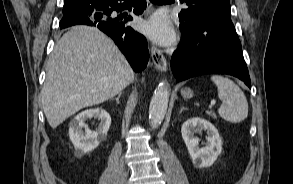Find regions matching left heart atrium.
I'll list each match as a JSON object with an SVG mask.
<instances>
[{"label": "left heart atrium", "mask_w": 293, "mask_h": 184, "mask_svg": "<svg viewBox=\"0 0 293 184\" xmlns=\"http://www.w3.org/2000/svg\"><path fill=\"white\" fill-rule=\"evenodd\" d=\"M143 31L161 44H169L174 39V31L164 15L151 17L142 26Z\"/></svg>", "instance_id": "1"}]
</instances>
